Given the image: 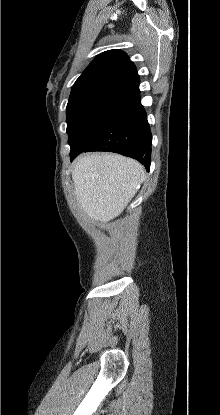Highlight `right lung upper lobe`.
<instances>
[{"instance_id": "1", "label": "right lung upper lobe", "mask_w": 220, "mask_h": 415, "mask_svg": "<svg viewBox=\"0 0 220 415\" xmlns=\"http://www.w3.org/2000/svg\"><path fill=\"white\" fill-rule=\"evenodd\" d=\"M104 78H114L136 87L140 82L136 67L127 54L121 50H108L95 57L74 85Z\"/></svg>"}]
</instances>
